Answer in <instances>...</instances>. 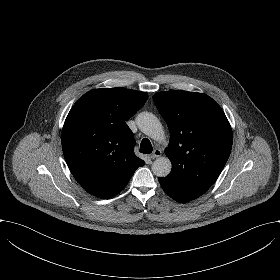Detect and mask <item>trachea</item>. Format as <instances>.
I'll list each match as a JSON object with an SVG mask.
<instances>
[{
    "label": "trachea",
    "instance_id": "3493384b",
    "mask_svg": "<svg viewBox=\"0 0 280 280\" xmlns=\"http://www.w3.org/2000/svg\"><path fill=\"white\" fill-rule=\"evenodd\" d=\"M140 152L143 153V154L152 153V145H151V142L149 141V139L144 138L141 141Z\"/></svg>",
    "mask_w": 280,
    "mask_h": 280
}]
</instances>
